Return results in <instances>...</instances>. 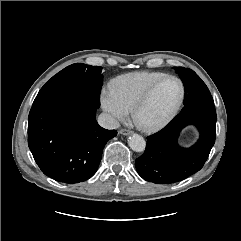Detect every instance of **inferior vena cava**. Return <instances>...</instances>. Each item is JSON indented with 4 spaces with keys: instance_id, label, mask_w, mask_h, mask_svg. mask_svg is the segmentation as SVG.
Instances as JSON below:
<instances>
[{
    "instance_id": "602c4592",
    "label": "inferior vena cava",
    "mask_w": 241,
    "mask_h": 241,
    "mask_svg": "<svg viewBox=\"0 0 241 241\" xmlns=\"http://www.w3.org/2000/svg\"><path fill=\"white\" fill-rule=\"evenodd\" d=\"M98 123L105 129H117L120 127L118 120L108 113H101L98 117Z\"/></svg>"
}]
</instances>
